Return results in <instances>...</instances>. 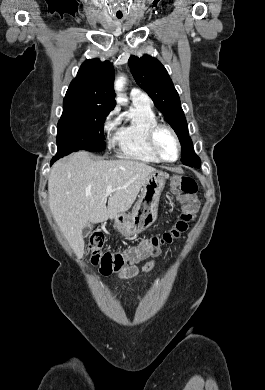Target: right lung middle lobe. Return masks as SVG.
Masks as SVG:
<instances>
[{
    "mask_svg": "<svg viewBox=\"0 0 265 390\" xmlns=\"http://www.w3.org/2000/svg\"><path fill=\"white\" fill-rule=\"evenodd\" d=\"M110 109L86 104H63L57 125V156L78 150H104V122Z\"/></svg>",
    "mask_w": 265,
    "mask_h": 390,
    "instance_id": "right-lung-middle-lobe-1",
    "label": "right lung middle lobe"
}]
</instances>
